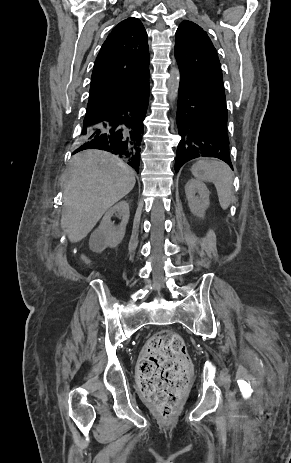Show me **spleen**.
I'll use <instances>...</instances> for the list:
<instances>
[{
  "label": "spleen",
  "instance_id": "3e777b00",
  "mask_svg": "<svg viewBox=\"0 0 291 463\" xmlns=\"http://www.w3.org/2000/svg\"><path fill=\"white\" fill-rule=\"evenodd\" d=\"M191 172L197 180L215 185L222 209L226 210L230 206L233 175L228 165L221 161L201 160L192 166Z\"/></svg>",
  "mask_w": 291,
  "mask_h": 463
}]
</instances>
